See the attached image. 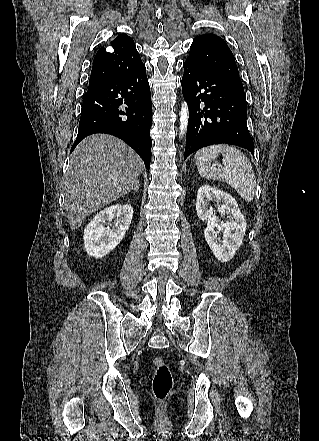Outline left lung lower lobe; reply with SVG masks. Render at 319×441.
<instances>
[{"instance_id":"0a47b994","label":"left lung lower lobe","mask_w":319,"mask_h":441,"mask_svg":"<svg viewBox=\"0 0 319 441\" xmlns=\"http://www.w3.org/2000/svg\"><path fill=\"white\" fill-rule=\"evenodd\" d=\"M182 93L189 108L184 160L200 148L232 144L254 154L243 89L226 76L186 60Z\"/></svg>"}]
</instances>
